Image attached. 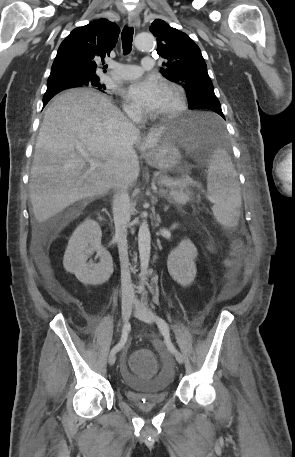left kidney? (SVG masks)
<instances>
[{"label":"left kidney","mask_w":295,"mask_h":457,"mask_svg":"<svg viewBox=\"0 0 295 457\" xmlns=\"http://www.w3.org/2000/svg\"><path fill=\"white\" fill-rule=\"evenodd\" d=\"M197 249L190 240H182L168 256L167 267L171 277L181 286H189L195 279L197 269L194 260Z\"/></svg>","instance_id":"left-kidney-1"}]
</instances>
